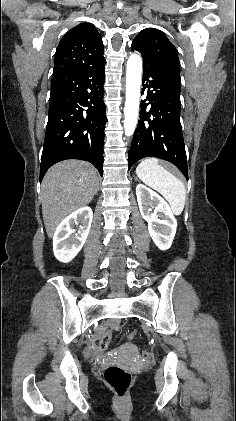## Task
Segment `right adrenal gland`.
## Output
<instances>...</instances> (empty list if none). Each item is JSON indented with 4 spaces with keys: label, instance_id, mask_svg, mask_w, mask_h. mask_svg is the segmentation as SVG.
Returning a JSON list of instances; mask_svg holds the SVG:
<instances>
[{
    "label": "right adrenal gland",
    "instance_id": "obj_1",
    "mask_svg": "<svg viewBox=\"0 0 236 421\" xmlns=\"http://www.w3.org/2000/svg\"><path fill=\"white\" fill-rule=\"evenodd\" d=\"M97 190H99V184H97L96 192H97Z\"/></svg>",
    "mask_w": 236,
    "mask_h": 421
}]
</instances>
